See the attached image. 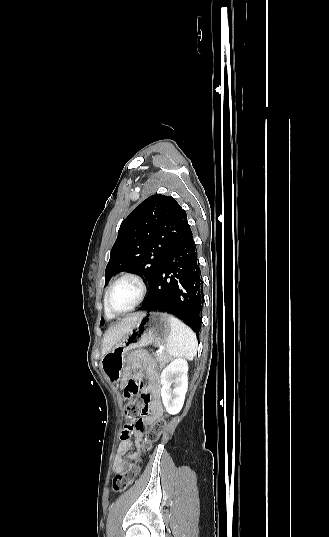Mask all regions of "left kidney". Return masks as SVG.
<instances>
[{"instance_id":"1","label":"left kidney","mask_w":329,"mask_h":537,"mask_svg":"<svg viewBox=\"0 0 329 537\" xmlns=\"http://www.w3.org/2000/svg\"><path fill=\"white\" fill-rule=\"evenodd\" d=\"M187 373L188 363L183 358L172 360L161 373V397L166 411L171 415L179 413L183 407L188 388Z\"/></svg>"}]
</instances>
